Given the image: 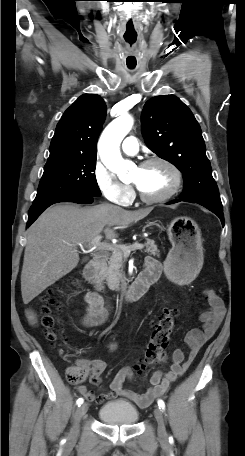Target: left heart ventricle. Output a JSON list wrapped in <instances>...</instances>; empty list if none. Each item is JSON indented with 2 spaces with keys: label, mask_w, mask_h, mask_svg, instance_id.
<instances>
[{
  "label": "left heart ventricle",
  "mask_w": 245,
  "mask_h": 456,
  "mask_svg": "<svg viewBox=\"0 0 245 456\" xmlns=\"http://www.w3.org/2000/svg\"><path fill=\"white\" fill-rule=\"evenodd\" d=\"M131 181L145 195L155 197L172 187L174 176L168 167L155 163L144 168L137 167L132 173Z\"/></svg>",
  "instance_id": "left-heart-ventricle-1"
}]
</instances>
